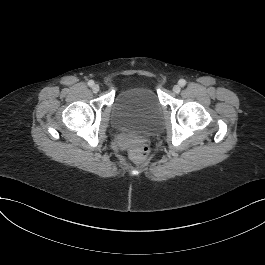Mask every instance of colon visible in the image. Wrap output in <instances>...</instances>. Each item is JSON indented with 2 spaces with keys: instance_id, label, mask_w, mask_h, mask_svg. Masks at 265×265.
Listing matches in <instances>:
<instances>
[{
  "instance_id": "obj_1",
  "label": "colon",
  "mask_w": 265,
  "mask_h": 265,
  "mask_svg": "<svg viewBox=\"0 0 265 265\" xmlns=\"http://www.w3.org/2000/svg\"><path fill=\"white\" fill-rule=\"evenodd\" d=\"M124 141L133 143L131 154L132 157L136 160H141L146 158L150 153V148L148 145L138 144V138L135 135L125 136Z\"/></svg>"
}]
</instances>
